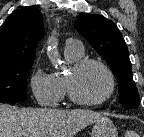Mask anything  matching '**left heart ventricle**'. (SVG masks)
<instances>
[{
	"label": "left heart ventricle",
	"instance_id": "left-heart-ventricle-1",
	"mask_svg": "<svg viewBox=\"0 0 144 137\" xmlns=\"http://www.w3.org/2000/svg\"><path fill=\"white\" fill-rule=\"evenodd\" d=\"M73 87L79 98L96 101L106 95L109 89V80L101 67L90 64L74 74Z\"/></svg>",
	"mask_w": 144,
	"mask_h": 137
}]
</instances>
